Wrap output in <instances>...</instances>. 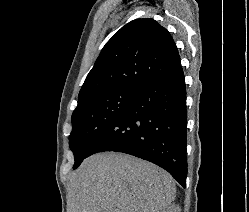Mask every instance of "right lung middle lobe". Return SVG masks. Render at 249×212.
Returning <instances> with one entry per match:
<instances>
[{"label": "right lung middle lobe", "instance_id": "1", "mask_svg": "<svg viewBox=\"0 0 249 212\" xmlns=\"http://www.w3.org/2000/svg\"><path fill=\"white\" fill-rule=\"evenodd\" d=\"M138 92L116 91L94 96L79 104L72 114L70 149L74 153L76 169L118 115L132 102Z\"/></svg>", "mask_w": 249, "mask_h": 212}]
</instances>
